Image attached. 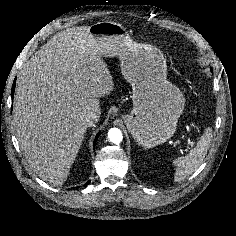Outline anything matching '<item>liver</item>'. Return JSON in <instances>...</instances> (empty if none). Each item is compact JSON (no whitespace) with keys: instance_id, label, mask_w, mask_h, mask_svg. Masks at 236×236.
<instances>
[{"instance_id":"obj_1","label":"liver","mask_w":236,"mask_h":236,"mask_svg":"<svg viewBox=\"0 0 236 236\" xmlns=\"http://www.w3.org/2000/svg\"><path fill=\"white\" fill-rule=\"evenodd\" d=\"M113 86L88 26L57 33L25 61L13 122L20 148L41 179L65 182L86 132L83 115H100L99 99Z\"/></svg>"}]
</instances>
